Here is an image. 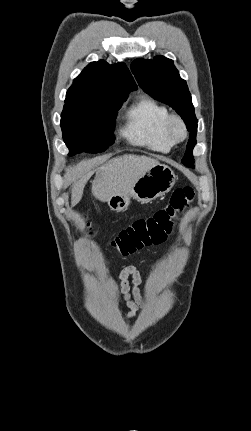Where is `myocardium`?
I'll return each mask as SVG.
<instances>
[{
  "label": "myocardium",
  "mask_w": 251,
  "mask_h": 431,
  "mask_svg": "<svg viewBox=\"0 0 251 431\" xmlns=\"http://www.w3.org/2000/svg\"><path fill=\"white\" fill-rule=\"evenodd\" d=\"M177 128L180 129V134L177 133ZM165 132L167 137L173 143H179L186 139L188 129L183 118L177 114H169L165 121Z\"/></svg>",
  "instance_id": "obj_1"
}]
</instances>
